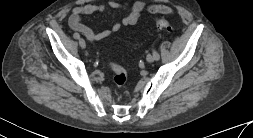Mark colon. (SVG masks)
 Returning <instances> with one entry per match:
<instances>
[{"mask_svg":"<svg viewBox=\"0 0 253 138\" xmlns=\"http://www.w3.org/2000/svg\"><path fill=\"white\" fill-rule=\"evenodd\" d=\"M155 25H156L157 29H159L161 31H165L168 33L173 31V27H172L171 23L165 18L157 17L155 19ZM109 67L113 71L114 83L116 84L117 87L123 88L127 83L126 71L124 70L123 67H121L120 65L113 63V62L109 63Z\"/></svg>","mask_w":253,"mask_h":138,"instance_id":"colon-1","label":"colon"}]
</instances>
